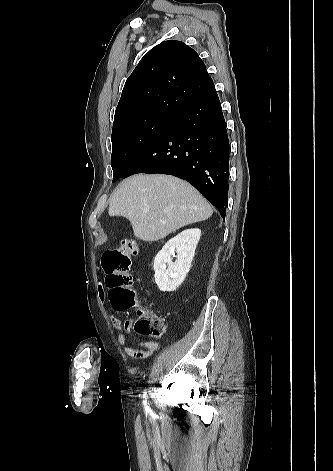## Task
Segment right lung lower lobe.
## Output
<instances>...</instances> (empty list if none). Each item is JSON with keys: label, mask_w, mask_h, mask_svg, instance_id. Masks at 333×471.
Segmentation results:
<instances>
[{"label": "right lung lower lobe", "mask_w": 333, "mask_h": 471, "mask_svg": "<svg viewBox=\"0 0 333 471\" xmlns=\"http://www.w3.org/2000/svg\"><path fill=\"white\" fill-rule=\"evenodd\" d=\"M137 173H162L187 180L225 220L229 141L214 86L181 109L120 178Z\"/></svg>", "instance_id": "obj_1"}]
</instances>
